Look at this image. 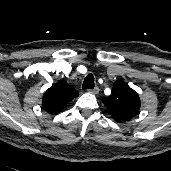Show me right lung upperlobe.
<instances>
[{
	"mask_svg": "<svg viewBox=\"0 0 171 171\" xmlns=\"http://www.w3.org/2000/svg\"><path fill=\"white\" fill-rule=\"evenodd\" d=\"M77 96L78 92L73 87L60 81L44 93L43 108L50 114H57Z\"/></svg>",
	"mask_w": 171,
	"mask_h": 171,
	"instance_id": "obj_1",
	"label": "right lung upper lobe"
}]
</instances>
